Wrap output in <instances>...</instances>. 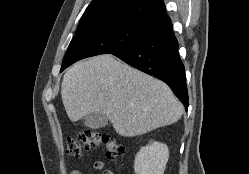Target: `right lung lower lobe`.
Masks as SVG:
<instances>
[{
	"instance_id": "1",
	"label": "right lung lower lobe",
	"mask_w": 249,
	"mask_h": 174,
	"mask_svg": "<svg viewBox=\"0 0 249 174\" xmlns=\"http://www.w3.org/2000/svg\"><path fill=\"white\" fill-rule=\"evenodd\" d=\"M113 55L164 81L187 110L185 69L178 53V42L170 18L148 25L140 41Z\"/></svg>"
}]
</instances>
